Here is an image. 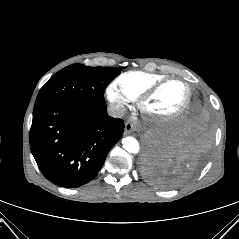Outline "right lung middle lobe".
I'll return each instance as SVG.
<instances>
[{"instance_id":"1","label":"right lung middle lobe","mask_w":239,"mask_h":239,"mask_svg":"<svg viewBox=\"0 0 239 239\" xmlns=\"http://www.w3.org/2000/svg\"><path fill=\"white\" fill-rule=\"evenodd\" d=\"M119 73L120 69L114 67L67 66L40 89L35 106L57 102L106 105L104 91Z\"/></svg>"}]
</instances>
